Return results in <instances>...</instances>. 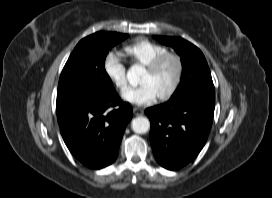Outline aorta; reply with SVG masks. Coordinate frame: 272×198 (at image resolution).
<instances>
[{
	"instance_id": "obj_1",
	"label": "aorta",
	"mask_w": 272,
	"mask_h": 198,
	"mask_svg": "<svg viewBox=\"0 0 272 198\" xmlns=\"http://www.w3.org/2000/svg\"><path fill=\"white\" fill-rule=\"evenodd\" d=\"M143 66L135 64L129 68L127 72V79L130 84L136 85L139 82L140 76L144 73ZM131 128L135 133L144 134L150 129V121L146 117H136L132 120Z\"/></svg>"
}]
</instances>
